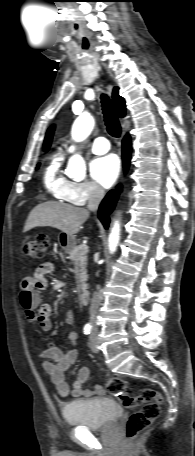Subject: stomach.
Instances as JSON below:
<instances>
[{"label": "stomach", "mask_w": 195, "mask_h": 456, "mask_svg": "<svg viewBox=\"0 0 195 456\" xmlns=\"http://www.w3.org/2000/svg\"><path fill=\"white\" fill-rule=\"evenodd\" d=\"M59 243L65 251H70L73 247H75V236L67 235L66 233H61L59 235Z\"/></svg>", "instance_id": "1"}]
</instances>
